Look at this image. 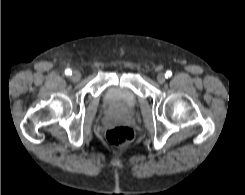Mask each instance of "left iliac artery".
<instances>
[{
    "label": "left iliac artery",
    "mask_w": 245,
    "mask_h": 195,
    "mask_svg": "<svg viewBox=\"0 0 245 195\" xmlns=\"http://www.w3.org/2000/svg\"><path fill=\"white\" fill-rule=\"evenodd\" d=\"M172 76V72L170 70L166 71L165 77L170 78Z\"/></svg>",
    "instance_id": "left-iliac-artery-1"
}]
</instances>
